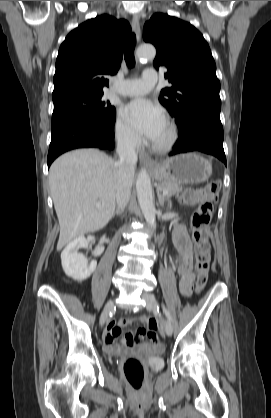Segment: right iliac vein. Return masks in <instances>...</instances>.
Masks as SVG:
<instances>
[{
  "mask_svg": "<svg viewBox=\"0 0 271 418\" xmlns=\"http://www.w3.org/2000/svg\"><path fill=\"white\" fill-rule=\"evenodd\" d=\"M114 303L112 300L108 301L104 307V310L100 317V325L103 326L108 318L109 313L112 311Z\"/></svg>",
  "mask_w": 271,
  "mask_h": 418,
  "instance_id": "63e3f726",
  "label": "right iliac vein"
}]
</instances>
